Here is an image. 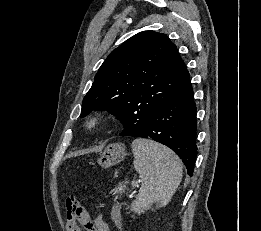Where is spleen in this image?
<instances>
[{
    "label": "spleen",
    "mask_w": 261,
    "mask_h": 231,
    "mask_svg": "<svg viewBox=\"0 0 261 231\" xmlns=\"http://www.w3.org/2000/svg\"><path fill=\"white\" fill-rule=\"evenodd\" d=\"M134 168L142 184L131 210L141 214L156 203V208L168 204L182 179V163L170 149L149 139L137 138L132 142ZM126 183V182H125ZM125 184L115 189L121 194Z\"/></svg>",
    "instance_id": "obj_1"
}]
</instances>
